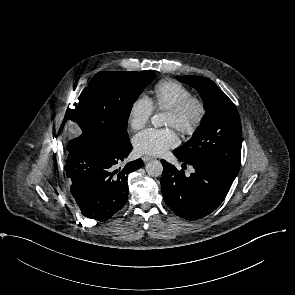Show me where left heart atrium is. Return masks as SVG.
Returning <instances> with one entry per match:
<instances>
[{"label": "left heart atrium", "mask_w": 295, "mask_h": 295, "mask_svg": "<svg viewBox=\"0 0 295 295\" xmlns=\"http://www.w3.org/2000/svg\"><path fill=\"white\" fill-rule=\"evenodd\" d=\"M133 146L137 153L160 156L178 144V136L173 129L148 128L133 137Z\"/></svg>", "instance_id": "1"}]
</instances>
